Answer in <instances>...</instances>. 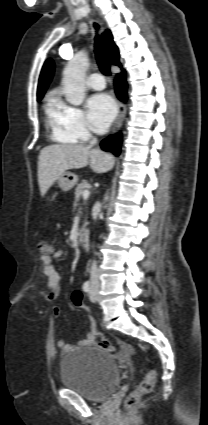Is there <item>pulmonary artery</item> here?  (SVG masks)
Segmentation results:
<instances>
[{
  "label": "pulmonary artery",
  "mask_w": 208,
  "mask_h": 425,
  "mask_svg": "<svg viewBox=\"0 0 208 425\" xmlns=\"http://www.w3.org/2000/svg\"><path fill=\"white\" fill-rule=\"evenodd\" d=\"M87 86L94 90H102L105 88V80L102 74L92 73L87 79Z\"/></svg>",
  "instance_id": "obj_1"
}]
</instances>
